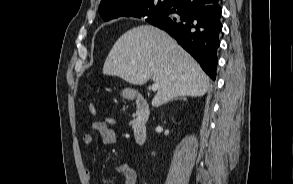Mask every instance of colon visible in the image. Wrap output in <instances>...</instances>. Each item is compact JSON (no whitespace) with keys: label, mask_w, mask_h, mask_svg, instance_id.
Masks as SVG:
<instances>
[{"label":"colon","mask_w":293,"mask_h":184,"mask_svg":"<svg viewBox=\"0 0 293 184\" xmlns=\"http://www.w3.org/2000/svg\"><path fill=\"white\" fill-rule=\"evenodd\" d=\"M89 111H90V113L92 114V115H95L96 114V108H95V106H94V104H90L89 105Z\"/></svg>","instance_id":"colon-1"}]
</instances>
